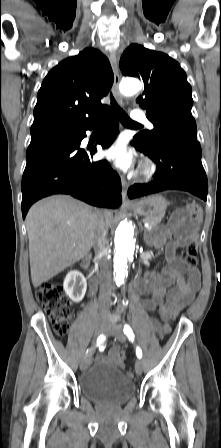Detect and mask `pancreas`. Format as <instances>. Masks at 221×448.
I'll list each match as a JSON object with an SVG mask.
<instances>
[{"label":"pancreas","mask_w":221,"mask_h":448,"mask_svg":"<svg viewBox=\"0 0 221 448\" xmlns=\"http://www.w3.org/2000/svg\"><path fill=\"white\" fill-rule=\"evenodd\" d=\"M164 214L159 215V216H152V217H146L143 219V222L145 223H149L151 226V229L156 227L163 219Z\"/></svg>","instance_id":"cf45deb5"}]
</instances>
